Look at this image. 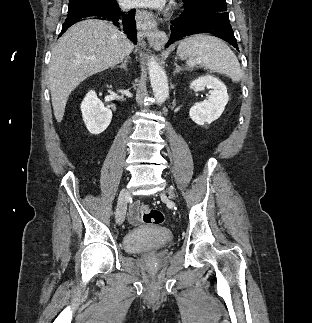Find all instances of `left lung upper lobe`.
Instances as JSON below:
<instances>
[{"label":"left lung upper lobe","instance_id":"5c2ea615","mask_svg":"<svg viewBox=\"0 0 312 323\" xmlns=\"http://www.w3.org/2000/svg\"><path fill=\"white\" fill-rule=\"evenodd\" d=\"M202 1H204V0H183L184 8L186 10H192Z\"/></svg>","mask_w":312,"mask_h":323}]
</instances>
